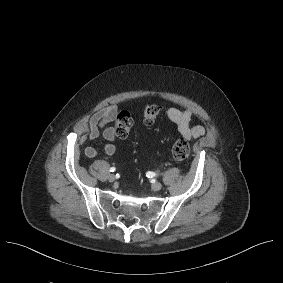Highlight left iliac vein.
<instances>
[{
	"mask_svg": "<svg viewBox=\"0 0 283 283\" xmlns=\"http://www.w3.org/2000/svg\"><path fill=\"white\" fill-rule=\"evenodd\" d=\"M162 188V184L160 183V182H154L153 184H152V189L154 190V191H158V190H160Z\"/></svg>",
	"mask_w": 283,
	"mask_h": 283,
	"instance_id": "left-iliac-vein-1",
	"label": "left iliac vein"
}]
</instances>
